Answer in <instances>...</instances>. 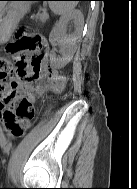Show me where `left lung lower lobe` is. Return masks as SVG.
I'll return each mask as SVG.
<instances>
[{"mask_svg": "<svg viewBox=\"0 0 137 189\" xmlns=\"http://www.w3.org/2000/svg\"><path fill=\"white\" fill-rule=\"evenodd\" d=\"M77 1H89V0H77Z\"/></svg>", "mask_w": 137, "mask_h": 189, "instance_id": "left-lung-lower-lobe-1", "label": "left lung lower lobe"}]
</instances>
